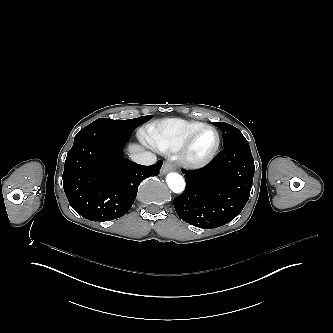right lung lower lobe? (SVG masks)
Masks as SVG:
<instances>
[{
	"instance_id": "right-lung-lower-lobe-1",
	"label": "right lung lower lobe",
	"mask_w": 333,
	"mask_h": 333,
	"mask_svg": "<svg viewBox=\"0 0 333 333\" xmlns=\"http://www.w3.org/2000/svg\"><path fill=\"white\" fill-rule=\"evenodd\" d=\"M131 134L88 125L75 136L62 178L71 207L82 217L109 221L125 215L140 183L159 174L161 160L143 166L124 158L123 146Z\"/></svg>"
}]
</instances>
